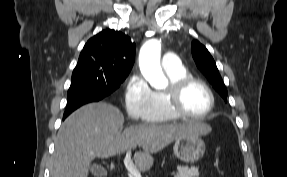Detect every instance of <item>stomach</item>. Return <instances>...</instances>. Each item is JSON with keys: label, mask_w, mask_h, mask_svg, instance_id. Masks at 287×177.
Here are the masks:
<instances>
[{"label": "stomach", "mask_w": 287, "mask_h": 177, "mask_svg": "<svg viewBox=\"0 0 287 177\" xmlns=\"http://www.w3.org/2000/svg\"><path fill=\"white\" fill-rule=\"evenodd\" d=\"M173 150L181 161L193 163L203 156L205 143L199 134H187L175 140Z\"/></svg>", "instance_id": "0dacf381"}]
</instances>
